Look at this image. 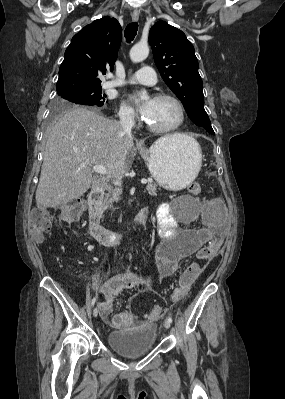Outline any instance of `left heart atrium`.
<instances>
[{
	"instance_id": "1",
	"label": "left heart atrium",
	"mask_w": 285,
	"mask_h": 399,
	"mask_svg": "<svg viewBox=\"0 0 285 399\" xmlns=\"http://www.w3.org/2000/svg\"><path fill=\"white\" fill-rule=\"evenodd\" d=\"M139 109H140L141 114H142L145 118H147L148 115L150 114V110H151L150 102H147V103L141 105V106L139 107Z\"/></svg>"
}]
</instances>
